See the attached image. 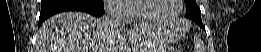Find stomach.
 Wrapping results in <instances>:
<instances>
[{
	"label": "stomach",
	"mask_w": 261,
	"mask_h": 52,
	"mask_svg": "<svg viewBox=\"0 0 261 52\" xmlns=\"http://www.w3.org/2000/svg\"><path fill=\"white\" fill-rule=\"evenodd\" d=\"M146 29L152 32L145 41L142 52H169L167 50L168 46L162 40L161 33H159L155 28L146 26Z\"/></svg>",
	"instance_id": "stomach-1"
}]
</instances>
